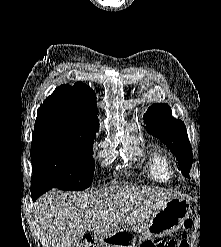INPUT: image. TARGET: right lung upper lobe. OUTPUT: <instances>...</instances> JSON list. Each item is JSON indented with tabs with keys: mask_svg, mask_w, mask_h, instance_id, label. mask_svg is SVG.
<instances>
[{
	"mask_svg": "<svg viewBox=\"0 0 221 247\" xmlns=\"http://www.w3.org/2000/svg\"><path fill=\"white\" fill-rule=\"evenodd\" d=\"M96 95L83 82L56 88L37 111L35 130L57 129L96 138L99 129Z\"/></svg>",
	"mask_w": 221,
	"mask_h": 247,
	"instance_id": "1",
	"label": "right lung upper lobe"
}]
</instances>
